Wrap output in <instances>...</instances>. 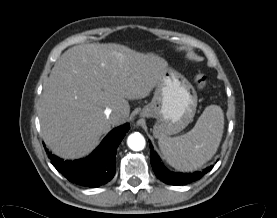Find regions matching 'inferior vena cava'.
<instances>
[{
	"label": "inferior vena cava",
	"instance_id": "inferior-vena-cava-1",
	"mask_svg": "<svg viewBox=\"0 0 277 218\" xmlns=\"http://www.w3.org/2000/svg\"><path fill=\"white\" fill-rule=\"evenodd\" d=\"M104 113L109 119L113 116V111L110 108H106ZM118 116L120 117V114Z\"/></svg>",
	"mask_w": 277,
	"mask_h": 218
}]
</instances>
